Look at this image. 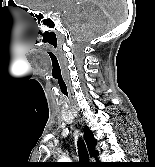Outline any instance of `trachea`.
<instances>
[{
    "instance_id": "3493384b",
    "label": "trachea",
    "mask_w": 155,
    "mask_h": 167,
    "mask_svg": "<svg viewBox=\"0 0 155 167\" xmlns=\"http://www.w3.org/2000/svg\"><path fill=\"white\" fill-rule=\"evenodd\" d=\"M78 153H79V159L81 162H85V163L89 162V155L85 147V144L82 140H79L78 142Z\"/></svg>"
}]
</instances>
